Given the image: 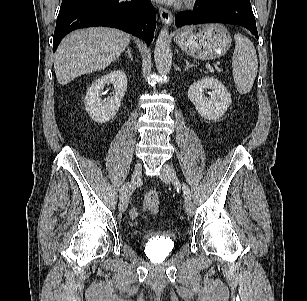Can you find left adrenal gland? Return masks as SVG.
<instances>
[{
	"label": "left adrenal gland",
	"mask_w": 307,
	"mask_h": 301,
	"mask_svg": "<svg viewBox=\"0 0 307 301\" xmlns=\"http://www.w3.org/2000/svg\"><path fill=\"white\" fill-rule=\"evenodd\" d=\"M185 63H186L185 70H188L190 67L195 66V65H191L187 60H185Z\"/></svg>",
	"instance_id": "obj_1"
}]
</instances>
